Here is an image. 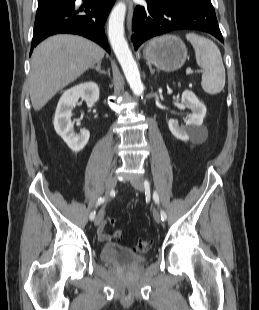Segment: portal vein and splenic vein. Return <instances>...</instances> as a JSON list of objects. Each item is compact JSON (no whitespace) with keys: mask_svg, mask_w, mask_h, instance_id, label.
<instances>
[{"mask_svg":"<svg viewBox=\"0 0 259 310\" xmlns=\"http://www.w3.org/2000/svg\"><path fill=\"white\" fill-rule=\"evenodd\" d=\"M196 72H200V71H196ZM193 73V70L191 69V68H187L186 69V74L187 75H190V74H192Z\"/></svg>","mask_w":259,"mask_h":310,"instance_id":"18ae733b","label":"portal vein and splenic vein"}]
</instances>
